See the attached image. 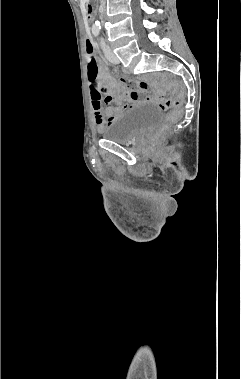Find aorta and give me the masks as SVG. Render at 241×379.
Here are the masks:
<instances>
[{
	"label": "aorta",
	"instance_id": "1",
	"mask_svg": "<svg viewBox=\"0 0 241 379\" xmlns=\"http://www.w3.org/2000/svg\"><path fill=\"white\" fill-rule=\"evenodd\" d=\"M95 26H96V27H98V26H99V24L96 22V23H95Z\"/></svg>",
	"mask_w": 241,
	"mask_h": 379
}]
</instances>
